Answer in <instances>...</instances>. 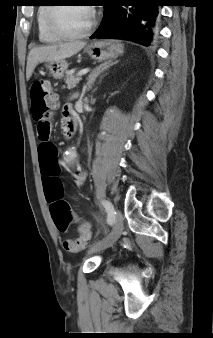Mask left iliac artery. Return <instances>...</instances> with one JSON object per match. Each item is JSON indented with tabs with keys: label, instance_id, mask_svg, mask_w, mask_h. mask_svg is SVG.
I'll return each mask as SVG.
<instances>
[{
	"label": "left iliac artery",
	"instance_id": "44dca946",
	"mask_svg": "<svg viewBox=\"0 0 213 338\" xmlns=\"http://www.w3.org/2000/svg\"><path fill=\"white\" fill-rule=\"evenodd\" d=\"M101 204L103 205V207L105 208L106 212H107V222L109 224H111L114 221V216L116 214L114 207L112 205V203L108 200H102Z\"/></svg>",
	"mask_w": 213,
	"mask_h": 338
}]
</instances>
